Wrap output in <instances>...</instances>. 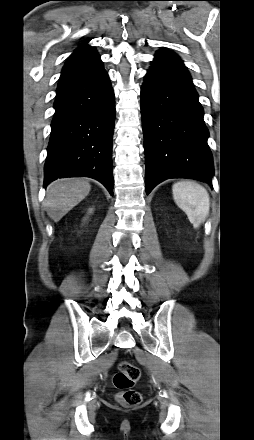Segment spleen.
I'll use <instances>...</instances> for the list:
<instances>
[{"label":"spleen","mask_w":254,"mask_h":440,"mask_svg":"<svg viewBox=\"0 0 254 440\" xmlns=\"http://www.w3.org/2000/svg\"><path fill=\"white\" fill-rule=\"evenodd\" d=\"M173 198L187 215L195 229L205 221L210 211V197L199 183L182 180L172 186Z\"/></svg>","instance_id":"1"}]
</instances>
